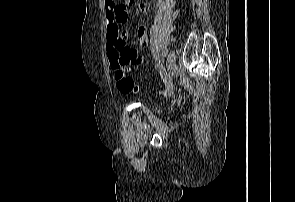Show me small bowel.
Wrapping results in <instances>:
<instances>
[{
  "label": "small bowel",
  "instance_id": "c3829d8e",
  "mask_svg": "<svg viewBox=\"0 0 295 202\" xmlns=\"http://www.w3.org/2000/svg\"><path fill=\"white\" fill-rule=\"evenodd\" d=\"M131 3V0H128ZM106 25H107V54L113 69L114 64L127 62L131 67H136L144 61L137 47L143 48L148 45V29L145 24H141L136 31L137 47L129 46L126 43V34L121 30V26L127 21L128 12L126 6L116 3V0H105ZM139 10L146 13L148 4H139Z\"/></svg>",
  "mask_w": 295,
  "mask_h": 202
}]
</instances>
